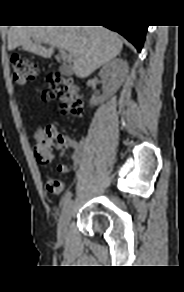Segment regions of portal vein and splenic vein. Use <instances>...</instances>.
<instances>
[{
	"label": "portal vein and splenic vein",
	"instance_id": "18ae733b",
	"mask_svg": "<svg viewBox=\"0 0 184 292\" xmlns=\"http://www.w3.org/2000/svg\"><path fill=\"white\" fill-rule=\"evenodd\" d=\"M61 57L63 59V61L65 62H71L72 60V56L69 53H66V51L64 49H59Z\"/></svg>",
	"mask_w": 184,
	"mask_h": 292
}]
</instances>
